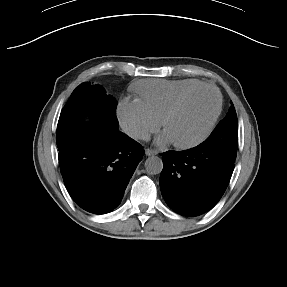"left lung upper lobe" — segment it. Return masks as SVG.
Segmentation results:
<instances>
[{"label":"left lung upper lobe","mask_w":287,"mask_h":287,"mask_svg":"<svg viewBox=\"0 0 287 287\" xmlns=\"http://www.w3.org/2000/svg\"><path fill=\"white\" fill-rule=\"evenodd\" d=\"M205 142L213 147L223 150L232 160L236 159L238 146V122L234 105H231L226 117Z\"/></svg>","instance_id":"left-lung-upper-lobe-1"}]
</instances>
